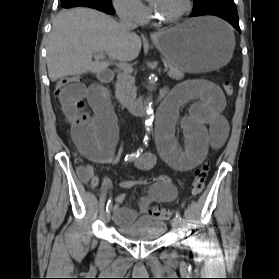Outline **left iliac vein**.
<instances>
[{
    "label": "left iliac vein",
    "mask_w": 279,
    "mask_h": 279,
    "mask_svg": "<svg viewBox=\"0 0 279 279\" xmlns=\"http://www.w3.org/2000/svg\"><path fill=\"white\" fill-rule=\"evenodd\" d=\"M172 227H173V230L174 231H179V228H180V224H179V221L176 219V218H174L173 220H172Z\"/></svg>",
    "instance_id": "4c4485c4"
}]
</instances>
